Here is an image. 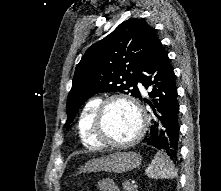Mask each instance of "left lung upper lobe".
<instances>
[{"label": "left lung upper lobe", "instance_id": "5c2ea615", "mask_svg": "<svg viewBox=\"0 0 221 191\" xmlns=\"http://www.w3.org/2000/svg\"><path fill=\"white\" fill-rule=\"evenodd\" d=\"M155 38V30L145 20L131 18L88 48L76 66L68 94L66 127L95 94L121 92L139 98L138 77Z\"/></svg>", "mask_w": 221, "mask_h": 191}]
</instances>
